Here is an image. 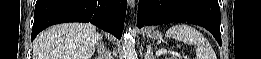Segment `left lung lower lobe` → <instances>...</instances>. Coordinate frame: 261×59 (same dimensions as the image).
I'll return each instance as SVG.
<instances>
[{
	"instance_id": "0a47b994",
	"label": "left lung lower lobe",
	"mask_w": 261,
	"mask_h": 59,
	"mask_svg": "<svg viewBox=\"0 0 261 59\" xmlns=\"http://www.w3.org/2000/svg\"><path fill=\"white\" fill-rule=\"evenodd\" d=\"M170 22H188L202 26L221 45L218 0H139V28Z\"/></svg>"
}]
</instances>
